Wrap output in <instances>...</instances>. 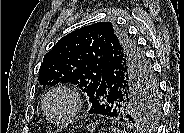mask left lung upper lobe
Instances as JSON below:
<instances>
[{"label": "left lung upper lobe", "mask_w": 184, "mask_h": 133, "mask_svg": "<svg viewBox=\"0 0 184 133\" xmlns=\"http://www.w3.org/2000/svg\"><path fill=\"white\" fill-rule=\"evenodd\" d=\"M107 57H114L121 63L129 89L118 118L136 125H148L160 111L158 86L142 51L116 24L94 23L62 37L44 56L38 81L44 86L76 84L91 102L102 82ZM141 81L151 84L152 95L144 93Z\"/></svg>", "instance_id": "obj_1"}]
</instances>
